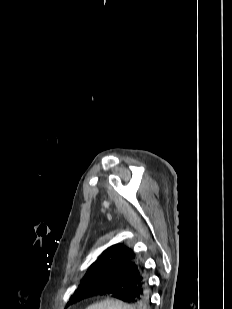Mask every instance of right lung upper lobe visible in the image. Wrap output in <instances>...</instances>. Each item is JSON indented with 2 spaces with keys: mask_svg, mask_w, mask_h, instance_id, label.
<instances>
[{
  "mask_svg": "<svg viewBox=\"0 0 232 309\" xmlns=\"http://www.w3.org/2000/svg\"><path fill=\"white\" fill-rule=\"evenodd\" d=\"M136 259L132 249L123 244H115L102 252L96 262H94L86 275L98 271H117L121 264L134 262Z\"/></svg>",
  "mask_w": 232,
  "mask_h": 309,
  "instance_id": "1",
  "label": "right lung upper lobe"
}]
</instances>
